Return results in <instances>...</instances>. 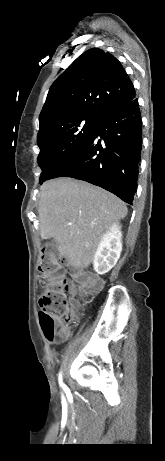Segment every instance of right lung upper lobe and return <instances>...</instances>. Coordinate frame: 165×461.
I'll return each mask as SVG.
<instances>
[{
    "instance_id": "1",
    "label": "right lung upper lobe",
    "mask_w": 165,
    "mask_h": 461,
    "mask_svg": "<svg viewBox=\"0 0 165 461\" xmlns=\"http://www.w3.org/2000/svg\"><path fill=\"white\" fill-rule=\"evenodd\" d=\"M134 98V86L119 60L98 48L89 49L50 87L39 116L38 136L63 120L101 118Z\"/></svg>"
}]
</instances>
